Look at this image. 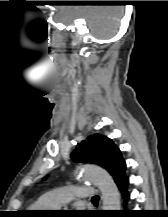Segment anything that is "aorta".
<instances>
[{"mask_svg":"<svg viewBox=\"0 0 168 217\" xmlns=\"http://www.w3.org/2000/svg\"><path fill=\"white\" fill-rule=\"evenodd\" d=\"M82 179L97 186L102 194L103 210H120V193L109 173L95 165L81 168Z\"/></svg>","mask_w":168,"mask_h":217,"instance_id":"762f6f07","label":"aorta"}]
</instances>
